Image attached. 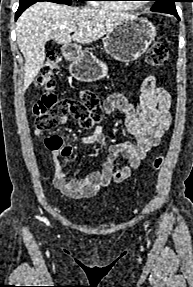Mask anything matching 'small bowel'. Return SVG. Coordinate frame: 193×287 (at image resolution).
<instances>
[{
  "label": "small bowel",
  "instance_id": "c3829d8e",
  "mask_svg": "<svg viewBox=\"0 0 193 287\" xmlns=\"http://www.w3.org/2000/svg\"><path fill=\"white\" fill-rule=\"evenodd\" d=\"M169 93L157 86L154 75L147 76L141 85V96L138 105H134L123 94L113 93L103 102L105 113L120 111L125 116V126L129 133L135 136L134 142L108 144L102 130L96 128L90 136H81L83 143L97 142L108 149L107 159L99 170H95L82 179H72L63 169L62 159L71 156L75 143L64 142V132H54L53 136H45L46 132L36 128L34 136H45V148H49L54 165L53 184L66 196L72 198L93 197L101 188L110 184H118L129 178L136 170L147 152L157 146L170 127L172 117L169 112ZM68 116L60 118V123L66 125ZM123 158L125 163L114 170L115 162Z\"/></svg>",
  "mask_w": 193,
  "mask_h": 287
}]
</instances>
